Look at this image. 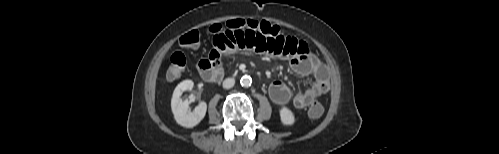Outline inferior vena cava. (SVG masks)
<instances>
[{
    "mask_svg": "<svg viewBox=\"0 0 499 154\" xmlns=\"http://www.w3.org/2000/svg\"><path fill=\"white\" fill-rule=\"evenodd\" d=\"M235 80L233 78H227L223 81V88L230 89L234 86Z\"/></svg>",
    "mask_w": 499,
    "mask_h": 154,
    "instance_id": "inferior-vena-cava-1",
    "label": "inferior vena cava"
}]
</instances>
